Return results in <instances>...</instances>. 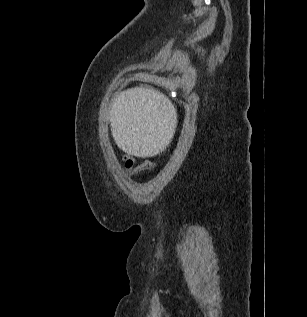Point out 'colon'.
<instances>
[{
  "label": "colon",
  "mask_w": 307,
  "mask_h": 317,
  "mask_svg": "<svg viewBox=\"0 0 307 317\" xmlns=\"http://www.w3.org/2000/svg\"><path fill=\"white\" fill-rule=\"evenodd\" d=\"M123 162H124V166L126 171H128L129 173H138L140 171H144V170H154L155 168V164L151 161H146L138 166H136V160L135 158L131 157V156H124L123 157Z\"/></svg>",
  "instance_id": "obj_1"
}]
</instances>
